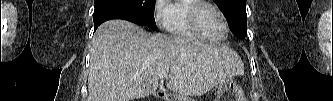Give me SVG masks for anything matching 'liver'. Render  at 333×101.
Returning <instances> with one entry per match:
<instances>
[{
	"mask_svg": "<svg viewBox=\"0 0 333 101\" xmlns=\"http://www.w3.org/2000/svg\"><path fill=\"white\" fill-rule=\"evenodd\" d=\"M182 96H200L244 73L238 54L224 45L149 34L125 20L103 23L92 39L87 101H132L154 94L159 74Z\"/></svg>",
	"mask_w": 333,
	"mask_h": 101,
	"instance_id": "1",
	"label": "liver"
}]
</instances>
